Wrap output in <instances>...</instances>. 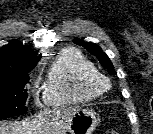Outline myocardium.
<instances>
[{"instance_id":"myocardium-1","label":"myocardium","mask_w":153,"mask_h":134,"mask_svg":"<svg viewBox=\"0 0 153 134\" xmlns=\"http://www.w3.org/2000/svg\"><path fill=\"white\" fill-rule=\"evenodd\" d=\"M91 84L93 88L97 90L99 93L106 92L111 88L110 79L100 72H96L92 75Z\"/></svg>"}]
</instances>
